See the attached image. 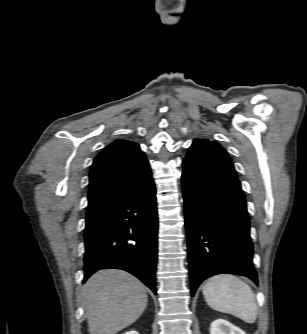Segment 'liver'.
Listing matches in <instances>:
<instances>
[{
  "mask_svg": "<svg viewBox=\"0 0 307 334\" xmlns=\"http://www.w3.org/2000/svg\"><path fill=\"white\" fill-rule=\"evenodd\" d=\"M90 334H116L134 323L147 306L145 286L121 270L96 272L82 288Z\"/></svg>",
  "mask_w": 307,
  "mask_h": 334,
  "instance_id": "liver-1",
  "label": "liver"
}]
</instances>
